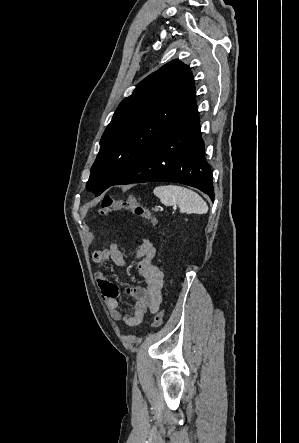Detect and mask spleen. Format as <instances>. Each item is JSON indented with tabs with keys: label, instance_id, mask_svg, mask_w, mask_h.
<instances>
[{
	"label": "spleen",
	"instance_id": "obj_1",
	"mask_svg": "<svg viewBox=\"0 0 299 443\" xmlns=\"http://www.w3.org/2000/svg\"><path fill=\"white\" fill-rule=\"evenodd\" d=\"M154 194L165 206L178 205L181 211L191 214H206L208 206L196 192L176 185L158 186Z\"/></svg>",
	"mask_w": 299,
	"mask_h": 443
}]
</instances>
